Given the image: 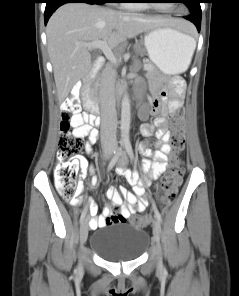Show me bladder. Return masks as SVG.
<instances>
[{"label":"bladder","instance_id":"bladder-1","mask_svg":"<svg viewBox=\"0 0 239 296\" xmlns=\"http://www.w3.org/2000/svg\"><path fill=\"white\" fill-rule=\"evenodd\" d=\"M150 238L140 228L125 223L106 225L95 232L91 249L111 262H128L138 259L148 249Z\"/></svg>","mask_w":239,"mask_h":296}]
</instances>
